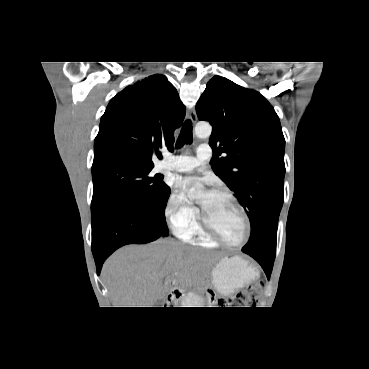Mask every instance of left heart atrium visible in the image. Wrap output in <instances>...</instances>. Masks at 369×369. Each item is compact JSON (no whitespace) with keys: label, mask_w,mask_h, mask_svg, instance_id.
Listing matches in <instances>:
<instances>
[{"label":"left heart atrium","mask_w":369,"mask_h":369,"mask_svg":"<svg viewBox=\"0 0 369 369\" xmlns=\"http://www.w3.org/2000/svg\"><path fill=\"white\" fill-rule=\"evenodd\" d=\"M203 180L197 177H186L178 180L177 185L183 191H189L192 187L202 183ZM207 194H213V192H208Z\"/></svg>","instance_id":"1"}]
</instances>
